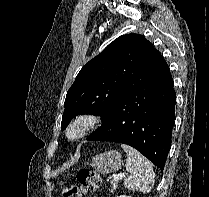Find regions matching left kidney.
Here are the masks:
<instances>
[{
	"label": "left kidney",
	"mask_w": 209,
	"mask_h": 197,
	"mask_svg": "<svg viewBox=\"0 0 209 197\" xmlns=\"http://www.w3.org/2000/svg\"><path fill=\"white\" fill-rule=\"evenodd\" d=\"M118 197H130V196H126V195H120V196H118Z\"/></svg>",
	"instance_id": "5707ae66"
}]
</instances>
